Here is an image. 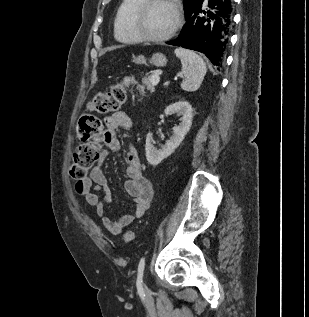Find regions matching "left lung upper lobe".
Listing matches in <instances>:
<instances>
[{
  "instance_id": "obj_1",
  "label": "left lung upper lobe",
  "mask_w": 309,
  "mask_h": 317,
  "mask_svg": "<svg viewBox=\"0 0 309 317\" xmlns=\"http://www.w3.org/2000/svg\"><path fill=\"white\" fill-rule=\"evenodd\" d=\"M203 0H183L185 13L198 6Z\"/></svg>"
}]
</instances>
